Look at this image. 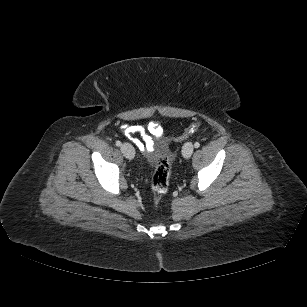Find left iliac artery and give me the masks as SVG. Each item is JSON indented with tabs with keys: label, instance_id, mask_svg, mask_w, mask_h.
Segmentation results:
<instances>
[{
	"label": "left iliac artery",
	"instance_id": "left-iliac-artery-1",
	"mask_svg": "<svg viewBox=\"0 0 307 307\" xmlns=\"http://www.w3.org/2000/svg\"><path fill=\"white\" fill-rule=\"evenodd\" d=\"M194 146H195V148H199V147H200V143H199V142H196V143L194 144Z\"/></svg>",
	"mask_w": 307,
	"mask_h": 307
}]
</instances>
